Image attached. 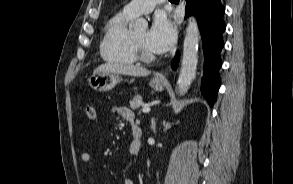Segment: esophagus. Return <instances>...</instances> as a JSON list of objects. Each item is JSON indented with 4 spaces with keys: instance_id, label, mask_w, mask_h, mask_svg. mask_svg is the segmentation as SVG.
Returning <instances> with one entry per match:
<instances>
[{
    "instance_id": "esophagus-1",
    "label": "esophagus",
    "mask_w": 293,
    "mask_h": 184,
    "mask_svg": "<svg viewBox=\"0 0 293 184\" xmlns=\"http://www.w3.org/2000/svg\"><path fill=\"white\" fill-rule=\"evenodd\" d=\"M166 75H167V73H163V74H160L158 77H159L160 79H164V78L166 77Z\"/></svg>"
}]
</instances>
